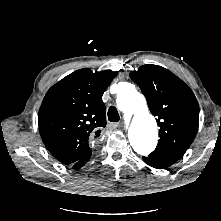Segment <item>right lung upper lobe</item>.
Wrapping results in <instances>:
<instances>
[{
  "instance_id": "1",
  "label": "right lung upper lobe",
  "mask_w": 221,
  "mask_h": 221,
  "mask_svg": "<svg viewBox=\"0 0 221 221\" xmlns=\"http://www.w3.org/2000/svg\"><path fill=\"white\" fill-rule=\"evenodd\" d=\"M117 74L77 70L45 95L38 114L40 135L61 163L73 165L91 154L90 142L106 126L102 95Z\"/></svg>"
}]
</instances>
